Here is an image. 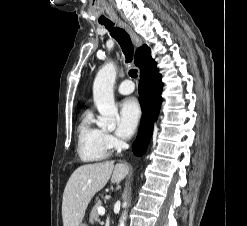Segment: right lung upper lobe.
<instances>
[{"mask_svg": "<svg viewBox=\"0 0 247 226\" xmlns=\"http://www.w3.org/2000/svg\"><path fill=\"white\" fill-rule=\"evenodd\" d=\"M151 58L150 49L146 45H143L135 54V65L139 67L141 71L146 67Z\"/></svg>", "mask_w": 247, "mask_h": 226, "instance_id": "obj_1", "label": "right lung upper lobe"}]
</instances>
